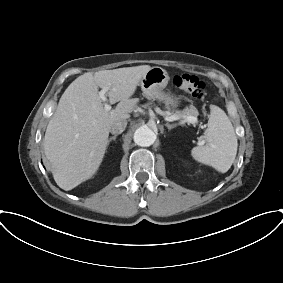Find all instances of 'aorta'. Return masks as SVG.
Masks as SVG:
<instances>
[{
  "instance_id": "obj_1",
  "label": "aorta",
  "mask_w": 283,
  "mask_h": 283,
  "mask_svg": "<svg viewBox=\"0 0 283 283\" xmlns=\"http://www.w3.org/2000/svg\"><path fill=\"white\" fill-rule=\"evenodd\" d=\"M155 140L156 134L146 125L140 126L134 133V142L138 146H151Z\"/></svg>"
}]
</instances>
